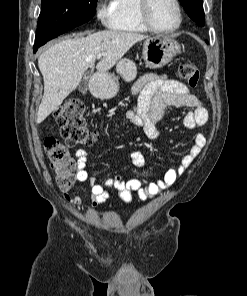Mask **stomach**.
<instances>
[{
	"mask_svg": "<svg viewBox=\"0 0 247 296\" xmlns=\"http://www.w3.org/2000/svg\"><path fill=\"white\" fill-rule=\"evenodd\" d=\"M181 47L178 41L171 36H155L146 39L143 43L142 57L147 67L160 68L169 63ZM116 71L125 81H132L137 75L135 63L127 58L117 62ZM119 90L118 79L108 73H97L94 76L93 93L101 99L114 97Z\"/></svg>",
	"mask_w": 247,
	"mask_h": 296,
	"instance_id": "stomach-1",
	"label": "stomach"
}]
</instances>
